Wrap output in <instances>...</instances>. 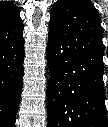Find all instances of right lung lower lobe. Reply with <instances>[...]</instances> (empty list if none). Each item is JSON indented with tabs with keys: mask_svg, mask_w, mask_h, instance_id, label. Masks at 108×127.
Listing matches in <instances>:
<instances>
[{
	"mask_svg": "<svg viewBox=\"0 0 108 127\" xmlns=\"http://www.w3.org/2000/svg\"><path fill=\"white\" fill-rule=\"evenodd\" d=\"M24 60L21 18L0 23V126L14 127L22 90Z\"/></svg>",
	"mask_w": 108,
	"mask_h": 127,
	"instance_id": "right-lung-lower-lobe-1",
	"label": "right lung lower lobe"
}]
</instances>
